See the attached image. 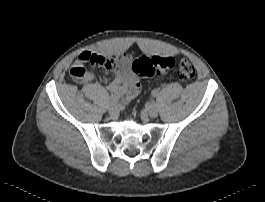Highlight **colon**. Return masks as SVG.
I'll list each match as a JSON object with an SVG mask.
<instances>
[{
  "label": "colon",
  "instance_id": "colon-1",
  "mask_svg": "<svg viewBox=\"0 0 265 202\" xmlns=\"http://www.w3.org/2000/svg\"><path fill=\"white\" fill-rule=\"evenodd\" d=\"M133 71L142 77H160L173 70L174 77L182 82L193 79L196 75L194 66L185 59L177 64L172 57L140 56L132 64ZM71 77L77 81L84 79L86 70L83 66L70 68Z\"/></svg>",
  "mask_w": 265,
  "mask_h": 202
}]
</instances>
